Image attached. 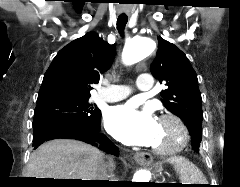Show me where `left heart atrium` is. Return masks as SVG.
Listing matches in <instances>:
<instances>
[{"label":"left heart atrium","instance_id":"left-heart-atrium-1","mask_svg":"<svg viewBox=\"0 0 240 187\" xmlns=\"http://www.w3.org/2000/svg\"><path fill=\"white\" fill-rule=\"evenodd\" d=\"M104 121L107 131L126 145L152 146L158 134V122L151 112L131 104L111 107Z\"/></svg>","mask_w":240,"mask_h":187}]
</instances>
